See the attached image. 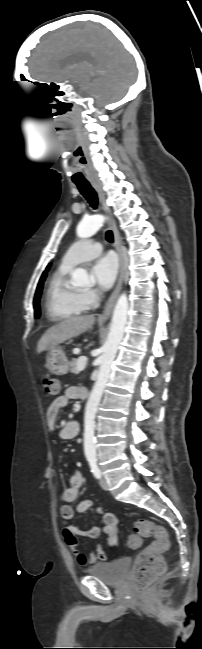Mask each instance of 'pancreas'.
I'll return each mask as SVG.
<instances>
[{
  "label": "pancreas",
  "mask_w": 202,
  "mask_h": 649,
  "mask_svg": "<svg viewBox=\"0 0 202 649\" xmlns=\"http://www.w3.org/2000/svg\"><path fill=\"white\" fill-rule=\"evenodd\" d=\"M77 361H78L77 359H74V360H72L70 362V372L75 374V375H78L80 373V371H79V369L77 367Z\"/></svg>",
  "instance_id": "1"
}]
</instances>
